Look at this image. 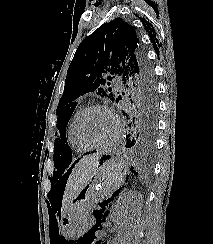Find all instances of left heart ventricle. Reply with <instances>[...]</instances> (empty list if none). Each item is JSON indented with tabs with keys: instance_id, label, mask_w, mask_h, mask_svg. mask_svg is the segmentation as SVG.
Returning <instances> with one entry per match:
<instances>
[{
	"instance_id": "left-heart-ventricle-1",
	"label": "left heart ventricle",
	"mask_w": 213,
	"mask_h": 244,
	"mask_svg": "<svg viewBox=\"0 0 213 244\" xmlns=\"http://www.w3.org/2000/svg\"><path fill=\"white\" fill-rule=\"evenodd\" d=\"M114 131L115 123L104 110L90 111L82 124V132L91 142H104L112 137Z\"/></svg>"
}]
</instances>
